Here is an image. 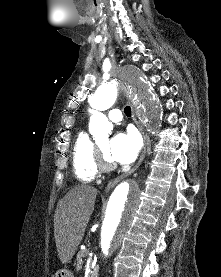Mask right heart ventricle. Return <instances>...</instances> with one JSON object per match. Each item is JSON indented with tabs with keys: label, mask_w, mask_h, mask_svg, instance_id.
<instances>
[{
	"label": "right heart ventricle",
	"mask_w": 221,
	"mask_h": 277,
	"mask_svg": "<svg viewBox=\"0 0 221 277\" xmlns=\"http://www.w3.org/2000/svg\"><path fill=\"white\" fill-rule=\"evenodd\" d=\"M71 156L73 172L79 181L90 182L97 177L96 145L85 131L76 136Z\"/></svg>",
	"instance_id": "e07e8e85"
}]
</instances>
